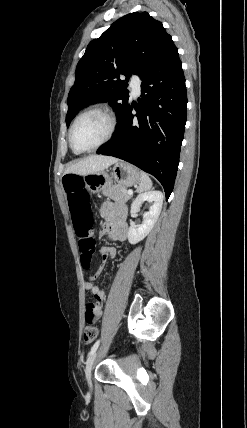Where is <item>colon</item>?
<instances>
[{
	"mask_svg": "<svg viewBox=\"0 0 247 428\" xmlns=\"http://www.w3.org/2000/svg\"><path fill=\"white\" fill-rule=\"evenodd\" d=\"M64 190L69 203V213L73 218L76 236L80 251L81 265L85 270L90 269L95 251V240L92 237L93 218L89 207V197L84 181L77 175H67L63 178ZM87 326L83 332V339L91 343L98 335L97 323L103 317V300L87 298L84 310Z\"/></svg>",
	"mask_w": 247,
	"mask_h": 428,
	"instance_id": "5ec220e1",
	"label": "colon"
}]
</instances>
